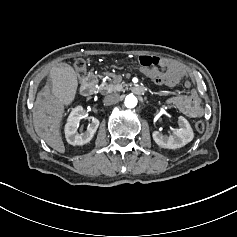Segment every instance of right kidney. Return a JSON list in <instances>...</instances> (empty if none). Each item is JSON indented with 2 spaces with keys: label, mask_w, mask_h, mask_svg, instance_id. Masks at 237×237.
Listing matches in <instances>:
<instances>
[{
  "label": "right kidney",
  "mask_w": 237,
  "mask_h": 237,
  "mask_svg": "<svg viewBox=\"0 0 237 237\" xmlns=\"http://www.w3.org/2000/svg\"><path fill=\"white\" fill-rule=\"evenodd\" d=\"M84 116V110L82 106H77L72 109L67 123L65 125V137L69 144L71 145H84L88 143L94 136L98 126L99 120L92 117V122L88 124L86 131L80 128V133L78 128L80 126V120Z\"/></svg>",
  "instance_id": "obj_1"
}]
</instances>
